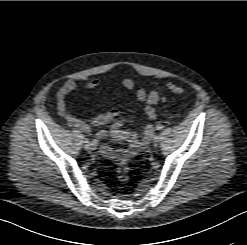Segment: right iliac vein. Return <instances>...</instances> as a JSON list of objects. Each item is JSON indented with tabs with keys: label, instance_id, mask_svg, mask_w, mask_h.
Returning <instances> with one entry per match:
<instances>
[{
	"label": "right iliac vein",
	"instance_id": "obj_1",
	"mask_svg": "<svg viewBox=\"0 0 247 245\" xmlns=\"http://www.w3.org/2000/svg\"><path fill=\"white\" fill-rule=\"evenodd\" d=\"M83 143H84L85 149L92 150V148L89 146V141L87 139H84Z\"/></svg>",
	"mask_w": 247,
	"mask_h": 245
}]
</instances>
